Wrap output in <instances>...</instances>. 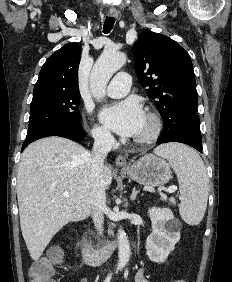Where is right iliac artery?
I'll return each instance as SVG.
<instances>
[{"label": "right iliac artery", "mask_w": 232, "mask_h": 282, "mask_svg": "<svg viewBox=\"0 0 232 282\" xmlns=\"http://www.w3.org/2000/svg\"><path fill=\"white\" fill-rule=\"evenodd\" d=\"M110 279H111V274H109V275L107 276V278L105 279L104 282H110Z\"/></svg>", "instance_id": "obj_1"}]
</instances>
